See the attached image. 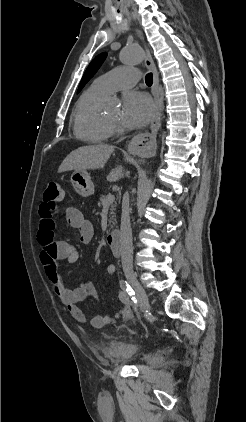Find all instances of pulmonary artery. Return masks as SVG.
<instances>
[{
    "instance_id": "e3ab8cb5",
    "label": "pulmonary artery",
    "mask_w": 246,
    "mask_h": 422,
    "mask_svg": "<svg viewBox=\"0 0 246 422\" xmlns=\"http://www.w3.org/2000/svg\"><path fill=\"white\" fill-rule=\"evenodd\" d=\"M139 78L137 69L120 67L95 79L93 86L108 95L116 90L134 86Z\"/></svg>"
}]
</instances>
